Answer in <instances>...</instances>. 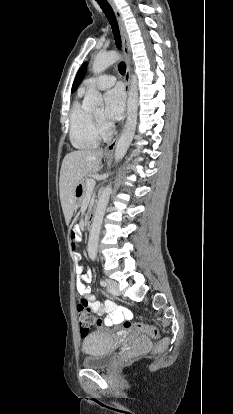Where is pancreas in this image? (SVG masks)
<instances>
[{
  "instance_id": "obj_1",
  "label": "pancreas",
  "mask_w": 233,
  "mask_h": 414,
  "mask_svg": "<svg viewBox=\"0 0 233 414\" xmlns=\"http://www.w3.org/2000/svg\"><path fill=\"white\" fill-rule=\"evenodd\" d=\"M89 179H91V178L86 177V178L84 179V181H83V185H84V196H83V198L81 199V201H80V202H82V201L86 198V196L90 193V191H91V189H89V188H88V185H87V181H88Z\"/></svg>"
}]
</instances>
